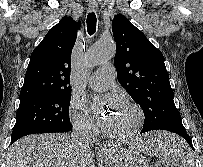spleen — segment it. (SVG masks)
Masks as SVG:
<instances>
[{
	"instance_id": "3e777b00",
	"label": "spleen",
	"mask_w": 203,
	"mask_h": 167,
	"mask_svg": "<svg viewBox=\"0 0 203 167\" xmlns=\"http://www.w3.org/2000/svg\"><path fill=\"white\" fill-rule=\"evenodd\" d=\"M144 151L163 158L178 167H194V160L186 143L168 133L149 135L144 141Z\"/></svg>"
}]
</instances>
